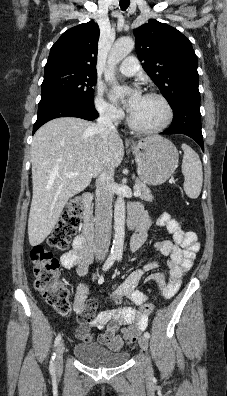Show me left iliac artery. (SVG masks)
Instances as JSON below:
<instances>
[{"label": "left iliac artery", "instance_id": "1", "mask_svg": "<svg viewBox=\"0 0 227 396\" xmlns=\"http://www.w3.org/2000/svg\"><path fill=\"white\" fill-rule=\"evenodd\" d=\"M116 258H117L118 261H120L122 259V254L118 253ZM144 336L148 339L150 337V333L149 332H145Z\"/></svg>", "mask_w": 227, "mask_h": 396}]
</instances>
